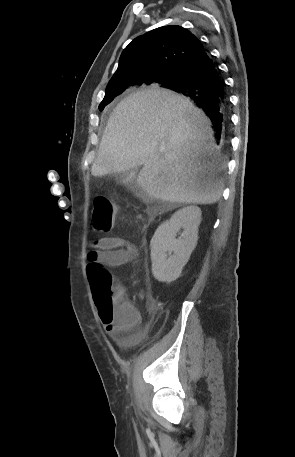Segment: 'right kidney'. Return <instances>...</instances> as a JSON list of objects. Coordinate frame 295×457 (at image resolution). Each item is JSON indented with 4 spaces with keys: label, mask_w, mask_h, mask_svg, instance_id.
I'll return each mask as SVG.
<instances>
[{
    "label": "right kidney",
    "mask_w": 295,
    "mask_h": 457,
    "mask_svg": "<svg viewBox=\"0 0 295 457\" xmlns=\"http://www.w3.org/2000/svg\"><path fill=\"white\" fill-rule=\"evenodd\" d=\"M200 221V208L187 206L175 212L168 221L157 228L150 247L152 272L158 281L170 283L180 276L182 268L196 247ZM181 229L182 232L177 239V233Z\"/></svg>",
    "instance_id": "ca27d5eb"
}]
</instances>
